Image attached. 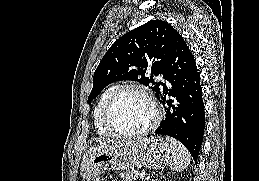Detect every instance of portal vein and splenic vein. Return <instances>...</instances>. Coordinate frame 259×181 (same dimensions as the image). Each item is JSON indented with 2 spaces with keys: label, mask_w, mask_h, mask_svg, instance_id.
I'll use <instances>...</instances> for the list:
<instances>
[{
  "label": "portal vein and splenic vein",
  "mask_w": 259,
  "mask_h": 181,
  "mask_svg": "<svg viewBox=\"0 0 259 181\" xmlns=\"http://www.w3.org/2000/svg\"><path fill=\"white\" fill-rule=\"evenodd\" d=\"M139 176H140V179H142V180L145 179V173L144 172H141Z\"/></svg>",
  "instance_id": "obj_1"
}]
</instances>
